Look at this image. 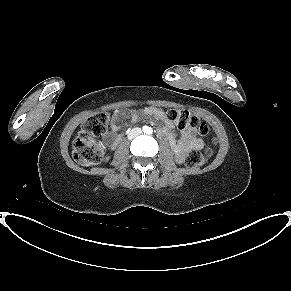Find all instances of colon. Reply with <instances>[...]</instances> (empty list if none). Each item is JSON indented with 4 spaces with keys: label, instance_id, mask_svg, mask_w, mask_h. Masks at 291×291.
Returning a JSON list of instances; mask_svg holds the SVG:
<instances>
[{
    "label": "colon",
    "instance_id": "1",
    "mask_svg": "<svg viewBox=\"0 0 291 291\" xmlns=\"http://www.w3.org/2000/svg\"><path fill=\"white\" fill-rule=\"evenodd\" d=\"M167 119L180 129H192L201 135L208 134V127L198 117L183 109H169L166 113ZM109 114L100 112L90 117L81 127L74 143L72 155L74 160L83 166H90L99 163L103 156L102 148L97 144L95 138L107 132ZM216 144L215 138H210L205 146L204 153L197 150H190L185 157V165L189 168L202 166L206 157L212 153Z\"/></svg>",
    "mask_w": 291,
    "mask_h": 291
}]
</instances>
